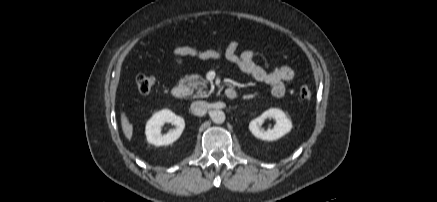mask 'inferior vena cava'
Segmentation results:
<instances>
[{
	"mask_svg": "<svg viewBox=\"0 0 437 202\" xmlns=\"http://www.w3.org/2000/svg\"><path fill=\"white\" fill-rule=\"evenodd\" d=\"M190 108L194 115L203 116L206 114L209 104L206 101H194Z\"/></svg>",
	"mask_w": 437,
	"mask_h": 202,
	"instance_id": "inferior-vena-cava-1",
	"label": "inferior vena cava"
}]
</instances>
